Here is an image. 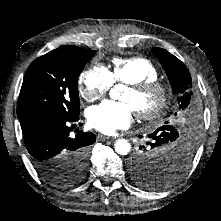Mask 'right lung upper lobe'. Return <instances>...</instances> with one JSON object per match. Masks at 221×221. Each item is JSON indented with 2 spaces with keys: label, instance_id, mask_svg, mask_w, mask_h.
Listing matches in <instances>:
<instances>
[{
  "label": "right lung upper lobe",
  "instance_id": "cb5924a9",
  "mask_svg": "<svg viewBox=\"0 0 221 221\" xmlns=\"http://www.w3.org/2000/svg\"><path fill=\"white\" fill-rule=\"evenodd\" d=\"M81 48L77 47V46H73V45H65V46H61L56 50H64V51H76L79 50Z\"/></svg>",
  "mask_w": 221,
  "mask_h": 221
}]
</instances>
